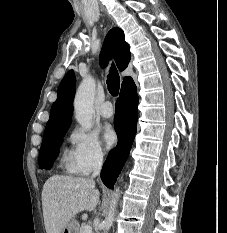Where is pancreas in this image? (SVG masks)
I'll use <instances>...</instances> for the list:
<instances>
[{
	"label": "pancreas",
	"instance_id": "cf45deb5",
	"mask_svg": "<svg viewBox=\"0 0 227 233\" xmlns=\"http://www.w3.org/2000/svg\"><path fill=\"white\" fill-rule=\"evenodd\" d=\"M85 225L83 224L80 228H79V231H78V233H83V227H84Z\"/></svg>",
	"mask_w": 227,
	"mask_h": 233
}]
</instances>
